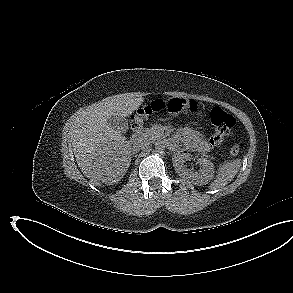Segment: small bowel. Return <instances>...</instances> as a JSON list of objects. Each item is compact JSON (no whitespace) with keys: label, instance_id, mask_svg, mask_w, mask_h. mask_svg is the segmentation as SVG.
Here are the masks:
<instances>
[{"label":"small bowel","instance_id":"1","mask_svg":"<svg viewBox=\"0 0 293 293\" xmlns=\"http://www.w3.org/2000/svg\"><path fill=\"white\" fill-rule=\"evenodd\" d=\"M178 138L191 149L198 151H207L209 149L207 141L191 128L185 127L181 129L178 133Z\"/></svg>","mask_w":293,"mask_h":293}]
</instances>
